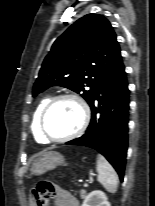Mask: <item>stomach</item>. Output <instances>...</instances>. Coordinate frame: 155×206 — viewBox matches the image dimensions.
Returning a JSON list of instances; mask_svg holds the SVG:
<instances>
[{"label": "stomach", "instance_id": "obj_1", "mask_svg": "<svg viewBox=\"0 0 155 206\" xmlns=\"http://www.w3.org/2000/svg\"><path fill=\"white\" fill-rule=\"evenodd\" d=\"M65 164V158L58 152L50 151L43 153L32 165L31 173L33 175H42L43 173L55 169L57 166Z\"/></svg>", "mask_w": 155, "mask_h": 206}]
</instances>
